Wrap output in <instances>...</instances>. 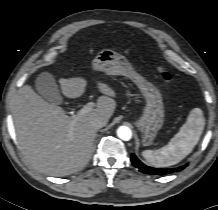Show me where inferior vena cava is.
<instances>
[{"label": "inferior vena cava", "mask_w": 218, "mask_h": 210, "mask_svg": "<svg viewBox=\"0 0 218 210\" xmlns=\"http://www.w3.org/2000/svg\"><path fill=\"white\" fill-rule=\"evenodd\" d=\"M106 124H107V120L105 119H93L90 122L91 127H93L96 130L104 127Z\"/></svg>", "instance_id": "602c4592"}]
</instances>
